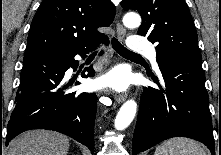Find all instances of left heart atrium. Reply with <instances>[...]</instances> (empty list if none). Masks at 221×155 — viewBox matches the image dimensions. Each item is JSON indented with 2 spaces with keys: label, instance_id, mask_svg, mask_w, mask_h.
Here are the masks:
<instances>
[{
  "label": "left heart atrium",
  "instance_id": "1",
  "mask_svg": "<svg viewBox=\"0 0 221 155\" xmlns=\"http://www.w3.org/2000/svg\"><path fill=\"white\" fill-rule=\"evenodd\" d=\"M129 83V77L126 71L115 68L97 80L98 87H111L115 90H124Z\"/></svg>",
  "mask_w": 221,
  "mask_h": 155
}]
</instances>
